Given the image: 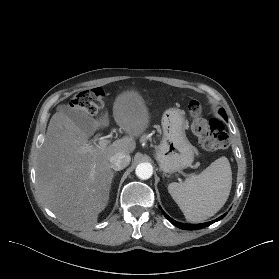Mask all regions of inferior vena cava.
Returning a JSON list of instances; mask_svg holds the SVG:
<instances>
[{
	"mask_svg": "<svg viewBox=\"0 0 279 279\" xmlns=\"http://www.w3.org/2000/svg\"><path fill=\"white\" fill-rule=\"evenodd\" d=\"M109 161L112 169L122 170L129 165L131 157L125 152H117L110 157Z\"/></svg>",
	"mask_w": 279,
	"mask_h": 279,
	"instance_id": "1",
	"label": "inferior vena cava"
}]
</instances>
